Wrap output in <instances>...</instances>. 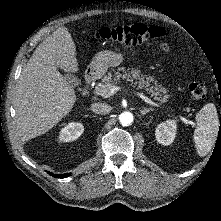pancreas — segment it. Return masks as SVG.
I'll return each instance as SVG.
<instances>
[{
    "label": "pancreas",
    "mask_w": 221,
    "mask_h": 221,
    "mask_svg": "<svg viewBox=\"0 0 221 221\" xmlns=\"http://www.w3.org/2000/svg\"><path fill=\"white\" fill-rule=\"evenodd\" d=\"M119 71L125 72L123 75ZM126 79L129 82H132L133 86H137L140 89H145V91L150 94V96L157 101L167 102L170 98L168 90L162 85H159L154 81L153 77L141 74L139 69H128V72L124 68H119L118 71L109 73L108 76H105L102 79L101 83H98L95 87V94L100 96H105L108 93L109 88L119 81L120 78Z\"/></svg>",
    "instance_id": "1"
}]
</instances>
